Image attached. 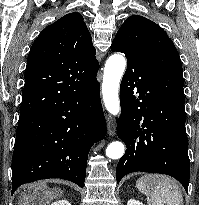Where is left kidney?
<instances>
[{
    "mask_svg": "<svg viewBox=\"0 0 199 205\" xmlns=\"http://www.w3.org/2000/svg\"><path fill=\"white\" fill-rule=\"evenodd\" d=\"M127 205H144L142 202L135 200V199H130L127 203Z\"/></svg>",
    "mask_w": 199,
    "mask_h": 205,
    "instance_id": "left-kidney-1",
    "label": "left kidney"
}]
</instances>
